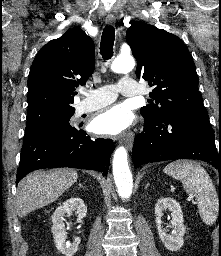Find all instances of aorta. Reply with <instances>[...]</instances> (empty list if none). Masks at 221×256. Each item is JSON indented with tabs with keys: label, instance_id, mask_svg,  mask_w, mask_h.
<instances>
[{
	"label": "aorta",
	"instance_id": "1",
	"mask_svg": "<svg viewBox=\"0 0 221 256\" xmlns=\"http://www.w3.org/2000/svg\"><path fill=\"white\" fill-rule=\"evenodd\" d=\"M135 66L132 57H117L111 64V70L115 73L130 72ZM127 150L121 146L115 150L113 157V175L119 195L128 199L132 194L133 179L128 165Z\"/></svg>",
	"mask_w": 221,
	"mask_h": 256
}]
</instances>
